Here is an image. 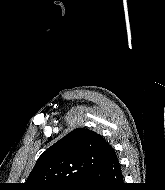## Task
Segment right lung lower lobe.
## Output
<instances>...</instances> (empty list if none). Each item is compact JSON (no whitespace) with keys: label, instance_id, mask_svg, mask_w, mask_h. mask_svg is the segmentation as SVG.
Wrapping results in <instances>:
<instances>
[{"label":"right lung lower lobe","instance_id":"obj_1","mask_svg":"<svg viewBox=\"0 0 165 190\" xmlns=\"http://www.w3.org/2000/svg\"><path fill=\"white\" fill-rule=\"evenodd\" d=\"M81 183L79 190H123V176L117 156L85 173Z\"/></svg>","mask_w":165,"mask_h":190}]
</instances>
